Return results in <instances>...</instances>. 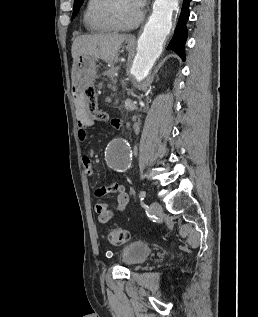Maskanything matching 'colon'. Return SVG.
Returning <instances> with one entry per match:
<instances>
[{"label": "colon", "mask_w": 258, "mask_h": 317, "mask_svg": "<svg viewBox=\"0 0 258 317\" xmlns=\"http://www.w3.org/2000/svg\"><path fill=\"white\" fill-rule=\"evenodd\" d=\"M84 108L87 113L95 120H105L106 114L102 112L97 103L96 89L93 85L88 86L83 94ZM129 232L122 228H112L108 232V240L114 245H120L129 240Z\"/></svg>", "instance_id": "1"}]
</instances>
